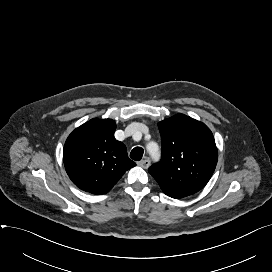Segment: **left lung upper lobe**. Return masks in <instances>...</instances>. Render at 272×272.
Listing matches in <instances>:
<instances>
[{"instance_id":"5c2ea615","label":"left lung upper lobe","mask_w":272,"mask_h":272,"mask_svg":"<svg viewBox=\"0 0 272 272\" xmlns=\"http://www.w3.org/2000/svg\"><path fill=\"white\" fill-rule=\"evenodd\" d=\"M162 159L149 168L163 192L183 198L201 190L211 178L218 151L210 129L184 114L158 123Z\"/></svg>"}]
</instances>
